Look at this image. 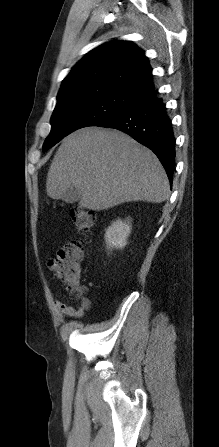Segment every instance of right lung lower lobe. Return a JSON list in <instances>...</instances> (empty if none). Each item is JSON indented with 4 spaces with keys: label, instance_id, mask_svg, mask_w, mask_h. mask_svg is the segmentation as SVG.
<instances>
[{
    "label": "right lung lower lobe",
    "instance_id": "1",
    "mask_svg": "<svg viewBox=\"0 0 219 447\" xmlns=\"http://www.w3.org/2000/svg\"><path fill=\"white\" fill-rule=\"evenodd\" d=\"M97 126L120 130L151 149L161 161L169 180H172L175 139L165 104L157 95L139 102Z\"/></svg>",
    "mask_w": 219,
    "mask_h": 447
}]
</instances>
